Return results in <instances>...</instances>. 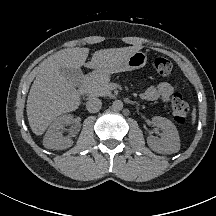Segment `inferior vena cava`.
I'll list each match as a JSON object with an SVG mask.
<instances>
[{
    "label": "inferior vena cava",
    "instance_id": "inferior-vena-cava-1",
    "mask_svg": "<svg viewBox=\"0 0 216 216\" xmlns=\"http://www.w3.org/2000/svg\"><path fill=\"white\" fill-rule=\"evenodd\" d=\"M86 108L90 113H96L102 108V102L98 98H91L87 101Z\"/></svg>",
    "mask_w": 216,
    "mask_h": 216
}]
</instances>
